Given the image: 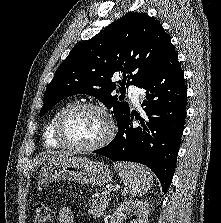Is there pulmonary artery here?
<instances>
[{"mask_svg":"<svg viewBox=\"0 0 221 223\" xmlns=\"http://www.w3.org/2000/svg\"><path fill=\"white\" fill-rule=\"evenodd\" d=\"M140 95H141V90L139 88L130 87L129 97L136 106L139 105Z\"/></svg>","mask_w":221,"mask_h":223,"instance_id":"1","label":"pulmonary artery"}]
</instances>
